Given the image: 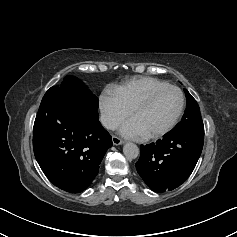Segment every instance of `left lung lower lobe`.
Listing matches in <instances>:
<instances>
[{
  "instance_id": "0a47b994",
  "label": "left lung lower lobe",
  "mask_w": 237,
  "mask_h": 237,
  "mask_svg": "<svg viewBox=\"0 0 237 237\" xmlns=\"http://www.w3.org/2000/svg\"><path fill=\"white\" fill-rule=\"evenodd\" d=\"M203 142L202 130L168 133L156 143L141 146L137 172L153 191H171L194 170Z\"/></svg>"
}]
</instances>
